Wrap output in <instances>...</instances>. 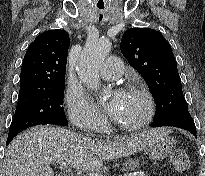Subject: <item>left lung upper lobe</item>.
Masks as SVG:
<instances>
[{
    "mask_svg": "<svg viewBox=\"0 0 205 176\" xmlns=\"http://www.w3.org/2000/svg\"><path fill=\"white\" fill-rule=\"evenodd\" d=\"M121 52L148 82L157 101L154 122L187 108L171 46L159 31L128 29L121 39Z\"/></svg>",
    "mask_w": 205,
    "mask_h": 176,
    "instance_id": "left-lung-upper-lobe-1",
    "label": "left lung upper lobe"
}]
</instances>
